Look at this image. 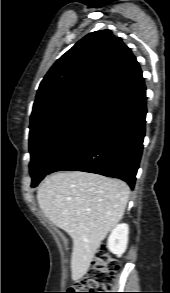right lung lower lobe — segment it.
<instances>
[{
  "label": "right lung lower lobe",
  "mask_w": 170,
  "mask_h": 293,
  "mask_svg": "<svg viewBox=\"0 0 170 293\" xmlns=\"http://www.w3.org/2000/svg\"><path fill=\"white\" fill-rule=\"evenodd\" d=\"M146 87L107 103L49 173L79 170L119 178L134 187L145 136Z\"/></svg>",
  "instance_id": "1"
}]
</instances>
